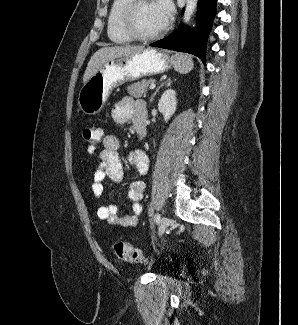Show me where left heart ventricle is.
I'll list each match as a JSON object with an SVG mask.
<instances>
[{"label": "left heart ventricle", "mask_w": 298, "mask_h": 325, "mask_svg": "<svg viewBox=\"0 0 298 325\" xmlns=\"http://www.w3.org/2000/svg\"><path fill=\"white\" fill-rule=\"evenodd\" d=\"M140 35H150L163 29L160 4L156 0L141 2L133 11L130 21Z\"/></svg>", "instance_id": "1"}]
</instances>
